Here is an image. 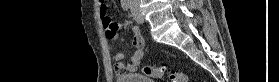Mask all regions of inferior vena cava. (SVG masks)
<instances>
[{
	"label": "inferior vena cava",
	"mask_w": 279,
	"mask_h": 82,
	"mask_svg": "<svg viewBox=\"0 0 279 82\" xmlns=\"http://www.w3.org/2000/svg\"><path fill=\"white\" fill-rule=\"evenodd\" d=\"M139 1L138 0H131L132 10L136 13L139 12Z\"/></svg>",
	"instance_id": "obj_1"
}]
</instances>
